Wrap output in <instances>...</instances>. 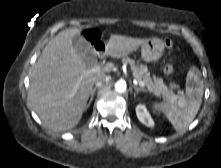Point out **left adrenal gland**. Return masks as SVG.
Instances as JSON below:
<instances>
[{"instance_id": "obj_1", "label": "left adrenal gland", "mask_w": 221, "mask_h": 168, "mask_svg": "<svg viewBox=\"0 0 221 168\" xmlns=\"http://www.w3.org/2000/svg\"><path fill=\"white\" fill-rule=\"evenodd\" d=\"M133 88H134V90H135V92L136 93H138V92H140V91H142V92H146V90L144 89V88H140V87H137V86H133Z\"/></svg>"}]
</instances>
